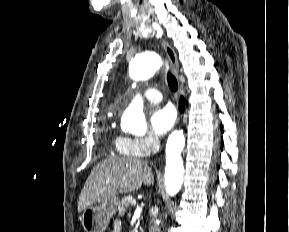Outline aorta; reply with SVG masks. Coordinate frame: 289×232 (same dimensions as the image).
<instances>
[{
  "label": "aorta",
  "mask_w": 289,
  "mask_h": 232,
  "mask_svg": "<svg viewBox=\"0 0 289 232\" xmlns=\"http://www.w3.org/2000/svg\"><path fill=\"white\" fill-rule=\"evenodd\" d=\"M162 60L159 54L147 52L135 56L130 63V76L133 80H147L161 67ZM124 131L138 136L147 131V124L143 112L142 98L137 95L122 117ZM185 146V137L182 130L174 131L166 144L165 189L170 196L176 195L182 187L184 166L181 152Z\"/></svg>",
  "instance_id": "762f6f07"
}]
</instances>
